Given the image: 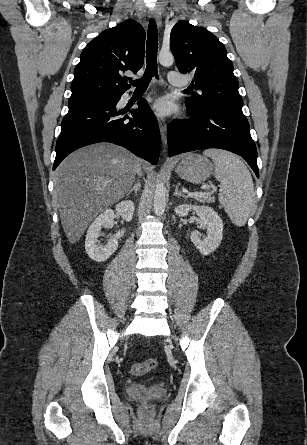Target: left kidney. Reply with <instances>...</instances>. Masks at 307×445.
<instances>
[{
    "label": "left kidney",
    "instance_id": "obj_1",
    "mask_svg": "<svg viewBox=\"0 0 307 445\" xmlns=\"http://www.w3.org/2000/svg\"><path fill=\"white\" fill-rule=\"evenodd\" d=\"M191 208L200 216V229H207V237H205L204 241H201L200 237H198V231H192L190 239L196 249L206 257V255H210L219 247L223 239V223L219 214L211 206L179 204V206H176L175 212L179 216H186Z\"/></svg>",
    "mask_w": 307,
    "mask_h": 445
}]
</instances>
